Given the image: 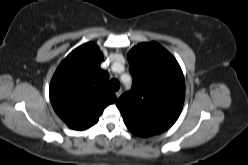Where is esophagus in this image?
Returning a JSON list of instances; mask_svg holds the SVG:
<instances>
[{"instance_id": "1", "label": "esophagus", "mask_w": 248, "mask_h": 165, "mask_svg": "<svg viewBox=\"0 0 248 165\" xmlns=\"http://www.w3.org/2000/svg\"><path fill=\"white\" fill-rule=\"evenodd\" d=\"M121 94H122V90H118L117 92H115L117 98H119Z\"/></svg>"}]
</instances>
